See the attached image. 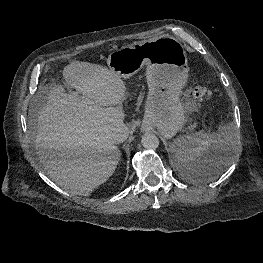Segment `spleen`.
I'll list each match as a JSON object with an SVG mask.
<instances>
[{
    "instance_id": "3e777b00",
    "label": "spleen",
    "mask_w": 263,
    "mask_h": 263,
    "mask_svg": "<svg viewBox=\"0 0 263 263\" xmlns=\"http://www.w3.org/2000/svg\"><path fill=\"white\" fill-rule=\"evenodd\" d=\"M239 143V135L232 124L221 125L218 132L206 133L199 131L180 136L171 144L172 152L176 161L182 165H189L201 157L210 148H219L222 153V167L217 173L206 178L215 179L225 171L231 162V155ZM187 179L194 177L188 175Z\"/></svg>"
}]
</instances>
